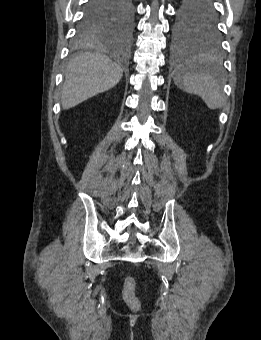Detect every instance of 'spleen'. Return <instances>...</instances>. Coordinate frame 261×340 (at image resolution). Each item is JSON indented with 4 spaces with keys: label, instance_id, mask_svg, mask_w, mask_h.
<instances>
[{
    "label": "spleen",
    "instance_id": "spleen-1",
    "mask_svg": "<svg viewBox=\"0 0 261 340\" xmlns=\"http://www.w3.org/2000/svg\"><path fill=\"white\" fill-rule=\"evenodd\" d=\"M175 83L187 93L200 96L212 110L224 105V95L216 80L195 63L182 65L176 73Z\"/></svg>",
    "mask_w": 261,
    "mask_h": 340
}]
</instances>
